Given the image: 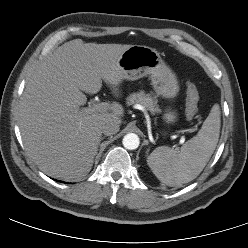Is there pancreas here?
Segmentation results:
<instances>
[{
    "instance_id": "pancreas-1",
    "label": "pancreas",
    "mask_w": 248,
    "mask_h": 248,
    "mask_svg": "<svg viewBox=\"0 0 248 248\" xmlns=\"http://www.w3.org/2000/svg\"><path fill=\"white\" fill-rule=\"evenodd\" d=\"M134 103L141 104L152 114L160 112L157 102L149 94H145L144 91L133 93L127 98L128 105H132Z\"/></svg>"
}]
</instances>
